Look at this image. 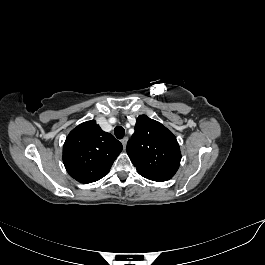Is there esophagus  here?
<instances>
[{
    "label": "esophagus",
    "instance_id": "34e87169",
    "mask_svg": "<svg viewBox=\"0 0 265 265\" xmlns=\"http://www.w3.org/2000/svg\"><path fill=\"white\" fill-rule=\"evenodd\" d=\"M127 141H128V138H127V137H124V138L121 140L124 149L126 148Z\"/></svg>",
    "mask_w": 265,
    "mask_h": 265
}]
</instances>
